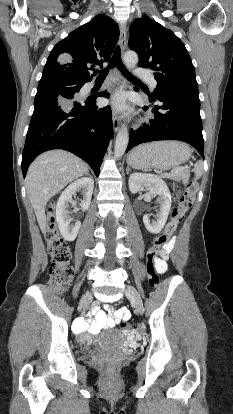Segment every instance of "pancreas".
Returning a JSON list of instances; mask_svg holds the SVG:
<instances>
[{
  "mask_svg": "<svg viewBox=\"0 0 233 414\" xmlns=\"http://www.w3.org/2000/svg\"><path fill=\"white\" fill-rule=\"evenodd\" d=\"M188 176H189L188 172L182 171V172H179V173L172 174L169 178H171L173 180L180 181V180H186L188 178Z\"/></svg>",
  "mask_w": 233,
  "mask_h": 414,
  "instance_id": "obj_1",
  "label": "pancreas"
}]
</instances>
